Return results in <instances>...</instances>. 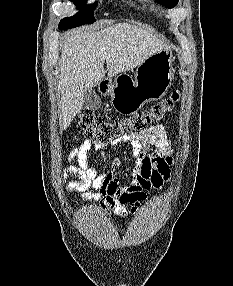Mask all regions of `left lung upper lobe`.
<instances>
[{
    "label": "left lung upper lobe",
    "instance_id": "5c2ea615",
    "mask_svg": "<svg viewBox=\"0 0 233 286\" xmlns=\"http://www.w3.org/2000/svg\"><path fill=\"white\" fill-rule=\"evenodd\" d=\"M159 1L164 3L167 7L170 8H173L178 3V0H159Z\"/></svg>",
    "mask_w": 233,
    "mask_h": 286
}]
</instances>
